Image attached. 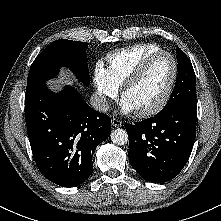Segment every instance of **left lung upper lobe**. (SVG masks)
<instances>
[{"mask_svg": "<svg viewBox=\"0 0 221 221\" xmlns=\"http://www.w3.org/2000/svg\"><path fill=\"white\" fill-rule=\"evenodd\" d=\"M178 73L173 92L165 107L158 113L163 114L183 103H196L195 73L189 58L177 48Z\"/></svg>", "mask_w": 221, "mask_h": 221, "instance_id": "1", "label": "left lung upper lobe"}]
</instances>
